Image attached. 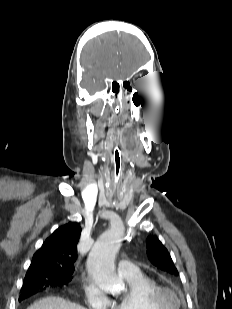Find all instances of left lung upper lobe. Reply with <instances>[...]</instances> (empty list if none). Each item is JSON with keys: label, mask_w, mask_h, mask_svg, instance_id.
Instances as JSON below:
<instances>
[{"label": "left lung upper lobe", "mask_w": 232, "mask_h": 309, "mask_svg": "<svg viewBox=\"0 0 232 309\" xmlns=\"http://www.w3.org/2000/svg\"><path fill=\"white\" fill-rule=\"evenodd\" d=\"M147 244V255L151 263L163 271L178 275V271L171 259L169 252L159 241V239L156 236H149L147 238Z\"/></svg>", "instance_id": "5c2ea615"}]
</instances>
